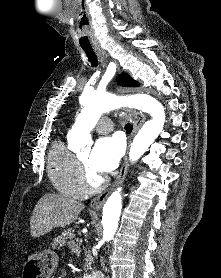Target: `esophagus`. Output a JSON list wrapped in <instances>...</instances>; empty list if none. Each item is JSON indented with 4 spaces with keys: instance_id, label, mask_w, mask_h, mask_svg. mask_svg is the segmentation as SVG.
Segmentation results:
<instances>
[{
    "instance_id": "esophagus-1",
    "label": "esophagus",
    "mask_w": 221,
    "mask_h": 278,
    "mask_svg": "<svg viewBox=\"0 0 221 278\" xmlns=\"http://www.w3.org/2000/svg\"><path fill=\"white\" fill-rule=\"evenodd\" d=\"M95 52L99 58L101 65L105 69L107 67V62H108L106 59V56H105V52L100 49H95ZM117 72L120 73V67L118 64H117ZM124 111L126 114H128L133 119V132H132V137H133V136H135V134L139 131V129L143 125V123L146 119V116L142 112H138V111L132 110V109H124ZM128 168H129V162H128V156L126 155L124 157V161L122 163L120 173L115 180L114 186H117L118 184H120L121 182L124 181V179L127 175V172H128ZM110 192L111 191H104L99 196L95 197L91 201L90 207L96 211L100 210L102 208L103 204L105 203L107 197L109 196Z\"/></svg>"
}]
</instances>
